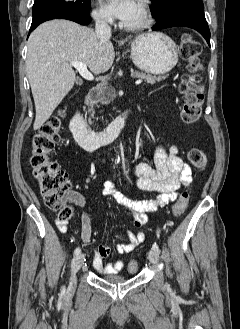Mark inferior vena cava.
Wrapping results in <instances>:
<instances>
[{
    "instance_id": "1",
    "label": "inferior vena cava",
    "mask_w": 240,
    "mask_h": 329,
    "mask_svg": "<svg viewBox=\"0 0 240 329\" xmlns=\"http://www.w3.org/2000/svg\"><path fill=\"white\" fill-rule=\"evenodd\" d=\"M95 33L98 39L108 40L111 37V27L105 17L98 16L95 18Z\"/></svg>"
}]
</instances>
